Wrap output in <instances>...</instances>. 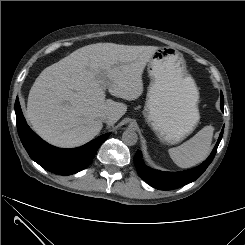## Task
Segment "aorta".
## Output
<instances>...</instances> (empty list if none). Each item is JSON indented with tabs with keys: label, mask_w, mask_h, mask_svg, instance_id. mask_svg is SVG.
Segmentation results:
<instances>
[{
	"label": "aorta",
	"mask_w": 245,
	"mask_h": 245,
	"mask_svg": "<svg viewBox=\"0 0 245 245\" xmlns=\"http://www.w3.org/2000/svg\"><path fill=\"white\" fill-rule=\"evenodd\" d=\"M122 141L124 144L128 146H133L138 141L137 133L134 130L127 129L122 134Z\"/></svg>",
	"instance_id": "obj_1"
}]
</instances>
